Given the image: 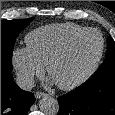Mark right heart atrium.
Here are the masks:
<instances>
[{"label":"right heart atrium","instance_id":"1","mask_svg":"<svg viewBox=\"0 0 115 115\" xmlns=\"http://www.w3.org/2000/svg\"><path fill=\"white\" fill-rule=\"evenodd\" d=\"M11 59L17 77L24 87L31 86L34 79L44 72V66L32 56L27 48H15L12 51Z\"/></svg>","mask_w":115,"mask_h":115}]
</instances>
